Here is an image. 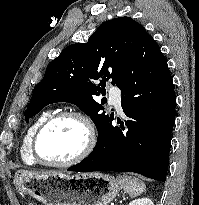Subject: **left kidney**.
Wrapping results in <instances>:
<instances>
[{
    "mask_svg": "<svg viewBox=\"0 0 199 205\" xmlns=\"http://www.w3.org/2000/svg\"><path fill=\"white\" fill-rule=\"evenodd\" d=\"M128 205H154L152 200L149 198H139L136 200H133Z\"/></svg>",
    "mask_w": 199,
    "mask_h": 205,
    "instance_id": "left-kidney-1",
    "label": "left kidney"
}]
</instances>
